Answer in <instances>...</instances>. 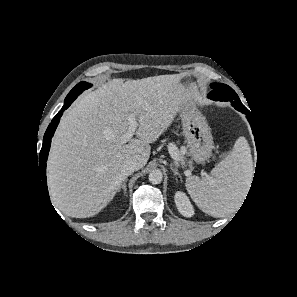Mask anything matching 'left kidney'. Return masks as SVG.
<instances>
[{"label":"left kidney","instance_id":"left-kidney-1","mask_svg":"<svg viewBox=\"0 0 297 297\" xmlns=\"http://www.w3.org/2000/svg\"><path fill=\"white\" fill-rule=\"evenodd\" d=\"M178 211L185 217H192L194 209L185 193L178 191L174 197Z\"/></svg>","mask_w":297,"mask_h":297}]
</instances>
